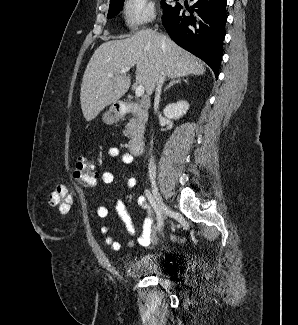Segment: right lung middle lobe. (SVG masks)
I'll use <instances>...</instances> for the list:
<instances>
[{
	"instance_id": "obj_1",
	"label": "right lung middle lobe",
	"mask_w": 298,
	"mask_h": 325,
	"mask_svg": "<svg viewBox=\"0 0 298 325\" xmlns=\"http://www.w3.org/2000/svg\"><path fill=\"white\" fill-rule=\"evenodd\" d=\"M123 3L124 0H116L114 2H111L107 18H113L116 16L122 9ZM162 6L164 8V11L172 8L171 5L166 4L164 1H162Z\"/></svg>"
}]
</instances>
